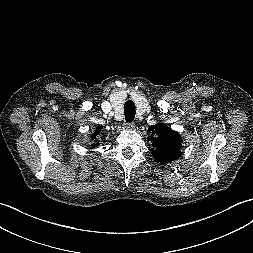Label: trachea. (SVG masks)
I'll return each mask as SVG.
<instances>
[{
	"mask_svg": "<svg viewBox=\"0 0 253 253\" xmlns=\"http://www.w3.org/2000/svg\"><path fill=\"white\" fill-rule=\"evenodd\" d=\"M135 104L133 101L128 100L125 102L124 105V114H125V119L127 122H132L134 120L135 117Z\"/></svg>",
	"mask_w": 253,
	"mask_h": 253,
	"instance_id": "1",
	"label": "trachea"
}]
</instances>
